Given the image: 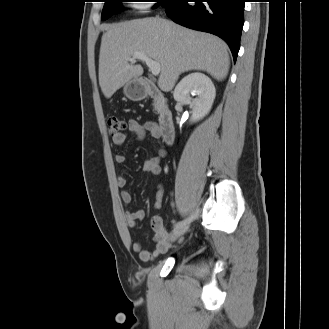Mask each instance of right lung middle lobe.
<instances>
[{
	"mask_svg": "<svg viewBox=\"0 0 329 329\" xmlns=\"http://www.w3.org/2000/svg\"><path fill=\"white\" fill-rule=\"evenodd\" d=\"M104 1L105 4L101 16L102 20H106L109 17H111L113 14L119 13L122 10V6L120 3L126 0H104ZM157 1L158 4L164 6L169 0H157Z\"/></svg>",
	"mask_w": 329,
	"mask_h": 329,
	"instance_id": "1",
	"label": "right lung middle lobe"
}]
</instances>
